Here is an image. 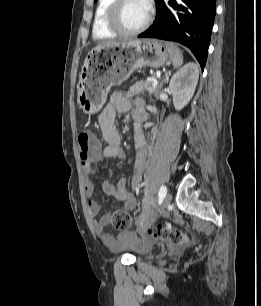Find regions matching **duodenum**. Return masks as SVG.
Returning <instances> with one entry per match:
<instances>
[{"label":"duodenum","mask_w":261,"mask_h":306,"mask_svg":"<svg viewBox=\"0 0 261 306\" xmlns=\"http://www.w3.org/2000/svg\"><path fill=\"white\" fill-rule=\"evenodd\" d=\"M144 117L140 118L139 121H143Z\"/></svg>","instance_id":"410a0bca"}]
</instances>
